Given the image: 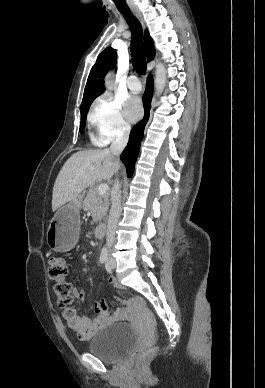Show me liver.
<instances>
[{"instance_id":"6515ba94","label":"liver","mask_w":265,"mask_h":388,"mask_svg":"<svg viewBox=\"0 0 265 388\" xmlns=\"http://www.w3.org/2000/svg\"><path fill=\"white\" fill-rule=\"evenodd\" d=\"M93 166L94 170H89ZM120 168L119 158L110 150H84L73 154L60 170L53 188L52 212L75 200L96 180H111Z\"/></svg>"}]
</instances>
